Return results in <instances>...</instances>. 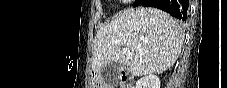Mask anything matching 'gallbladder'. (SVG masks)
<instances>
[{"instance_id": "gallbladder-1", "label": "gallbladder", "mask_w": 227, "mask_h": 88, "mask_svg": "<svg viewBox=\"0 0 227 88\" xmlns=\"http://www.w3.org/2000/svg\"><path fill=\"white\" fill-rule=\"evenodd\" d=\"M118 69H119L118 63L113 62L106 65L102 69L103 81L110 86H116L119 82Z\"/></svg>"}]
</instances>
